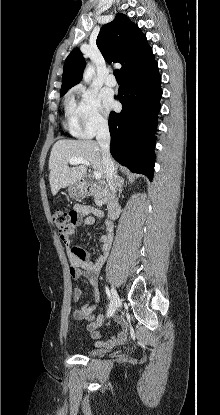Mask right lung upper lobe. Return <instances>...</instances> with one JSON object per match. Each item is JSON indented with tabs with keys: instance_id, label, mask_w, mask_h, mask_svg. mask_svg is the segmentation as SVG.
<instances>
[{
	"instance_id": "right-lung-upper-lobe-1",
	"label": "right lung upper lobe",
	"mask_w": 220,
	"mask_h": 415,
	"mask_svg": "<svg viewBox=\"0 0 220 415\" xmlns=\"http://www.w3.org/2000/svg\"><path fill=\"white\" fill-rule=\"evenodd\" d=\"M96 42L107 62L121 63L123 75L154 59L146 36L122 13H118L113 21L101 28ZM85 65L80 50H72L64 63L60 93L67 92L82 80Z\"/></svg>"
}]
</instances>
